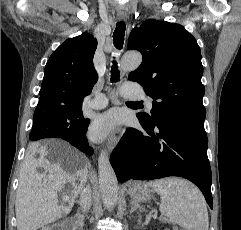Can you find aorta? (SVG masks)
Masks as SVG:
<instances>
[{"mask_svg": "<svg viewBox=\"0 0 241 230\" xmlns=\"http://www.w3.org/2000/svg\"><path fill=\"white\" fill-rule=\"evenodd\" d=\"M142 62V56L138 52L126 53L120 67L123 71H133ZM98 174L102 201L108 210L112 209L118 199V181L110 164L106 151H101L98 158Z\"/></svg>", "mask_w": 241, "mask_h": 230, "instance_id": "aorta-1", "label": "aorta"}]
</instances>
